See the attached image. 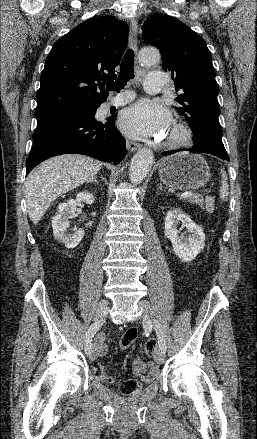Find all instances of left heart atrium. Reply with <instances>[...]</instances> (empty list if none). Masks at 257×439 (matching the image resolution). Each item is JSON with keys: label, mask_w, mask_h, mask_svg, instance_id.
Returning <instances> with one entry per match:
<instances>
[{"label": "left heart atrium", "mask_w": 257, "mask_h": 439, "mask_svg": "<svg viewBox=\"0 0 257 439\" xmlns=\"http://www.w3.org/2000/svg\"><path fill=\"white\" fill-rule=\"evenodd\" d=\"M171 115L162 105L140 101L122 111L119 126L126 134L139 138L162 135L170 126Z\"/></svg>", "instance_id": "obj_1"}]
</instances>
